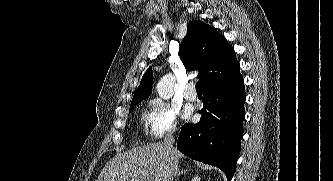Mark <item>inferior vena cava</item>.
I'll list each match as a JSON object with an SVG mask.
<instances>
[{"instance_id":"obj_1","label":"inferior vena cava","mask_w":333,"mask_h":181,"mask_svg":"<svg viewBox=\"0 0 333 181\" xmlns=\"http://www.w3.org/2000/svg\"><path fill=\"white\" fill-rule=\"evenodd\" d=\"M174 132H175V129H172L171 132L169 134H167V136H165V138H164L163 145L165 146V148L167 150H171L173 148V143L175 141V139L173 137ZM177 171H178V168L174 167L172 174L168 177V181H173V177L177 174Z\"/></svg>"}]
</instances>
